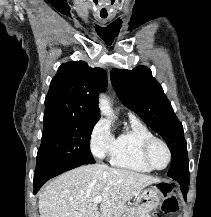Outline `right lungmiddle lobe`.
<instances>
[{"instance_id":"right-lung-middle-lobe-1","label":"right lung middle lobe","mask_w":211,"mask_h":217,"mask_svg":"<svg viewBox=\"0 0 211 217\" xmlns=\"http://www.w3.org/2000/svg\"><path fill=\"white\" fill-rule=\"evenodd\" d=\"M36 167L55 163H95L90 137L97 120L56 117L44 120Z\"/></svg>"}]
</instances>
